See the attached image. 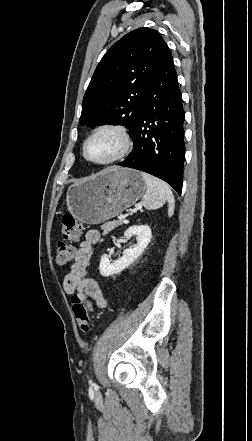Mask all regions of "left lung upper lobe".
<instances>
[{"instance_id": "obj_1", "label": "left lung upper lobe", "mask_w": 252, "mask_h": 441, "mask_svg": "<svg viewBox=\"0 0 252 441\" xmlns=\"http://www.w3.org/2000/svg\"><path fill=\"white\" fill-rule=\"evenodd\" d=\"M164 44L160 34L149 28L133 30L117 41L96 67L79 123L122 124L133 137Z\"/></svg>"}]
</instances>
